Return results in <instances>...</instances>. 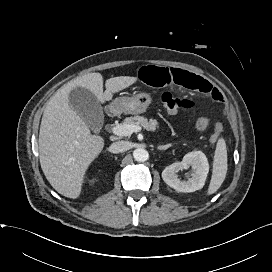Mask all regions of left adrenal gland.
Wrapping results in <instances>:
<instances>
[{
    "instance_id": "1",
    "label": "left adrenal gland",
    "mask_w": 272,
    "mask_h": 272,
    "mask_svg": "<svg viewBox=\"0 0 272 272\" xmlns=\"http://www.w3.org/2000/svg\"><path fill=\"white\" fill-rule=\"evenodd\" d=\"M170 146H171V144L163 145V146H158L157 149H158V150H166V149L169 148Z\"/></svg>"
}]
</instances>
